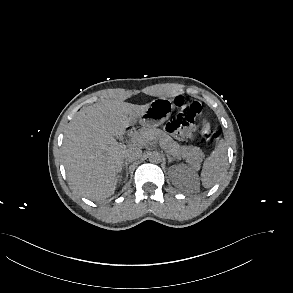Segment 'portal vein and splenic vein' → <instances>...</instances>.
Returning <instances> with one entry per match:
<instances>
[{"label": "portal vein and splenic vein", "instance_id": "obj_1", "mask_svg": "<svg viewBox=\"0 0 293 293\" xmlns=\"http://www.w3.org/2000/svg\"><path fill=\"white\" fill-rule=\"evenodd\" d=\"M144 136H139V135H134L132 138H131V140H132V142H134V143H141V142H144Z\"/></svg>", "mask_w": 293, "mask_h": 293}]
</instances>
